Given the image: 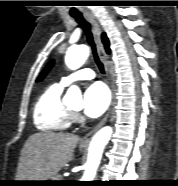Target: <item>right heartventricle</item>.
I'll use <instances>...</instances> for the list:
<instances>
[{
	"label": "right heart ventricle",
	"mask_w": 178,
	"mask_h": 186,
	"mask_svg": "<svg viewBox=\"0 0 178 186\" xmlns=\"http://www.w3.org/2000/svg\"><path fill=\"white\" fill-rule=\"evenodd\" d=\"M62 84L49 86L37 99L33 120L42 132H61L69 127L73 115L62 101Z\"/></svg>",
	"instance_id": "e07e8e85"
}]
</instances>
